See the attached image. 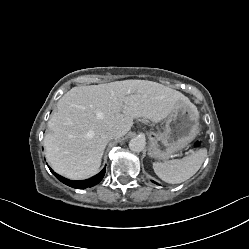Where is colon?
Masks as SVG:
<instances>
[{"label": "colon", "mask_w": 249, "mask_h": 249, "mask_svg": "<svg viewBox=\"0 0 249 249\" xmlns=\"http://www.w3.org/2000/svg\"><path fill=\"white\" fill-rule=\"evenodd\" d=\"M193 145H194V147L198 148L201 145V141L200 140H196Z\"/></svg>", "instance_id": "5ec220e1"}]
</instances>
